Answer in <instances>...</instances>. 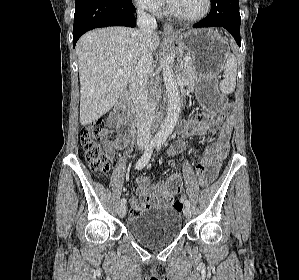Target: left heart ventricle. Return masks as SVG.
Masks as SVG:
<instances>
[{
	"instance_id": "1",
	"label": "left heart ventricle",
	"mask_w": 299,
	"mask_h": 280,
	"mask_svg": "<svg viewBox=\"0 0 299 280\" xmlns=\"http://www.w3.org/2000/svg\"><path fill=\"white\" fill-rule=\"evenodd\" d=\"M172 7L179 13L195 17L201 14L205 7V0H169Z\"/></svg>"
}]
</instances>
